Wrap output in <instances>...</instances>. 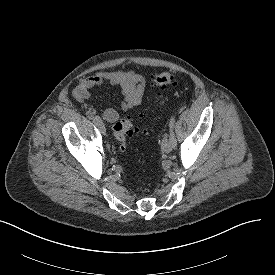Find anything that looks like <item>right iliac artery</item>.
I'll list each match as a JSON object with an SVG mask.
<instances>
[{
	"mask_svg": "<svg viewBox=\"0 0 275 275\" xmlns=\"http://www.w3.org/2000/svg\"><path fill=\"white\" fill-rule=\"evenodd\" d=\"M93 122L97 125L99 122H101V118L99 116L93 117Z\"/></svg>",
	"mask_w": 275,
	"mask_h": 275,
	"instance_id": "obj_1",
	"label": "right iliac artery"
}]
</instances>
